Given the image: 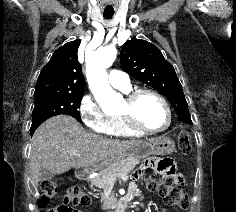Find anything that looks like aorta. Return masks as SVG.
<instances>
[{
    "label": "aorta",
    "instance_id": "1",
    "mask_svg": "<svg viewBox=\"0 0 236 212\" xmlns=\"http://www.w3.org/2000/svg\"><path fill=\"white\" fill-rule=\"evenodd\" d=\"M116 55L115 47L109 46L100 48L85 58L90 90L103 109L115 107L121 102V95L111 88L106 73V68L113 64Z\"/></svg>",
    "mask_w": 236,
    "mask_h": 212
}]
</instances>
